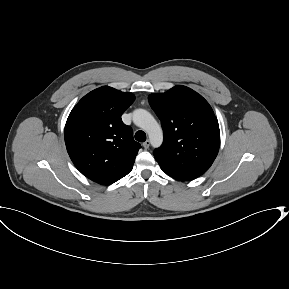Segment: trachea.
I'll return each mask as SVG.
<instances>
[{
    "label": "trachea",
    "instance_id": "trachea-1",
    "mask_svg": "<svg viewBox=\"0 0 289 289\" xmlns=\"http://www.w3.org/2000/svg\"><path fill=\"white\" fill-rule=\"evenodd\" d=\"M135 139L139 142H145L146 141V134L144 131L139 130L135 133Z\"/></svg>",
    "mask_w": 289,
    "mask_h": 289
}]
</instances>
